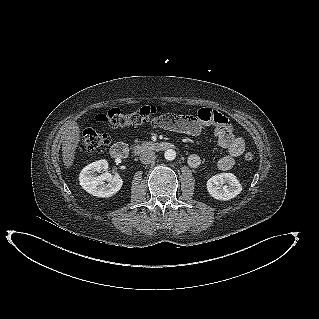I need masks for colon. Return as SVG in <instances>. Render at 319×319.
Returning a JSON list of instances; mask_svg holds the SVG:
<instances>
[{
  "label": "colon",
  "mask_w": 319,
  "mask_h": 319,
  "mask_svg": "<svg viewBox=\"0 0 319 319\" xmlns=\"http://www.w3.org/2000/svg\"><path fill=\"white\" fill-rule=\"evenodd\" d=\"M161 111L158 106H143L130 112H123L118 108H112L100 114L98 119L111 127L136 126L148 122L156 117ZM110 138L106 133L95 129H87L81 135L80 149L90 153L109 144ZM254 153H244V160L251 162Z\"/></svg>",
  "instance_id": "obj_1"
}]
</instances>
